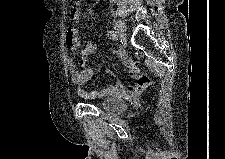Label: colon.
<instances>
[{
    "label": "colon",
    "instance_id": "obj_1",
    "mask_svg": "<svg viewBox=\"0 0 225 159\" xmlns=\"http://www.w3.org/2000/svg\"><path fill=\"white\" fill-rule=\"evenodd\" d=\"M131 62V68L133 69V71L135 72L136 71V63L133 62V61H130Z\"/></svg>",
    "mask_w": 225,
    "mask_h": 159
}]
</instances>
